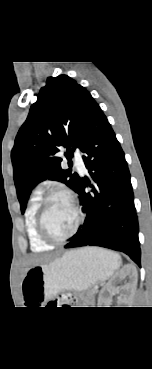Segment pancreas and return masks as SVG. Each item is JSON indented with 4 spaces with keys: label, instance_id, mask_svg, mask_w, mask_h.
Segmentation results:
<instances>
[{
    "label": "pancreas",
    "instance_id": "obj_1",
    "mask_svg": "<svg viewBox=\"0 0 152 369\" xmlns=\"http://www.w3.org/2000/svg\"><path fill=\"white\" fill-rule=\"evenodd\" d=\"M96 290L95 289H91L87 294L90 298L91 301H93L94 295L96 294Z\"/></svg>",
    "mask_w": 152,
    "mask_h": 369
}]
</instances>
